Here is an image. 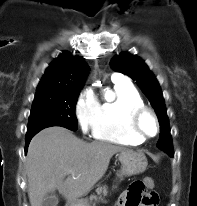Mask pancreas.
<instances>
[{
    "mask_svg": "<svg viewBox=\"0 0 197 206\" xmlns=\"http://www.w3.org/2000/svg\"><path fill=\"white\" fill-rule=\"evenodd\" d=\"M96 193H97L98 195H100L101 193H106V186L99 187V188L96 190ZM90 199H91V200H96V199H97V196L92 195V196L90 197Z\"/></svg>",
    "mask_w": 197,
    "mask_h": 206,
    "instance_id": "obj_1",
    "label": "pancreas"
}]
</instances>
